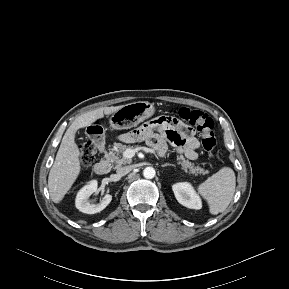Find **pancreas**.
Returning <instances> with one entry per match:
<instances>
[{"mask_svg":"<svg viewBox=\"0 0 289 289\" xmlns=\"http://www.w3.org/2000/svg\"><path fill=\"white\" fill-rule=\"evenodd\" d=\"M131 148H133V146L115 143L113 150L109 152L108 159L111 163L116 164L117 167L130 164L131 159H126L124 156L121 157L119 154H123L127 149ZM177 163L181 164L182 169L185 172L189 171V173L191 174L198 175L208 173V171H205L203 168L199 166H194V164L189 160L185 159L183 155L177 156Z\"/></svg>","mask_w":289,"mask_h":289,"instance_id":"obj_1","label":"pancreas"}]
</instances>
